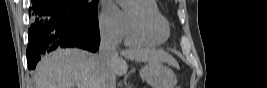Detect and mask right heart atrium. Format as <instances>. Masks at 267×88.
I'll use <instances>...</instances> for the list:
<instances>
[{"instance_id": "d8ad5b80", "label": "right heart atrium", "mask_w": 267, "mask_h": 88, "mask_svg": "<svg viewBox=\"0 0 267 88\" xmlns=\"http://www.w3.org/2000/svg\"><path fill=\"white\" fill-rule=\"evenodd\" d=\"M124 14L114 5L106 6L99 16V28L101 35L114 42L119 43L125 36Z\"/></svg>"}]
</instances>
